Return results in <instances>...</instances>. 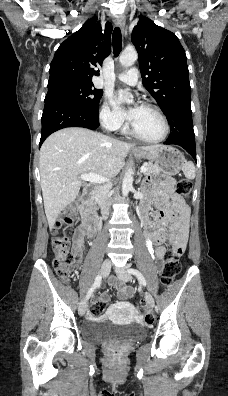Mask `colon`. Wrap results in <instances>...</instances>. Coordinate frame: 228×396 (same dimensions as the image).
Wrapping results in <instances>:
<instances>
[{
    "mask_svg": "<svg viewBox=\"0 0 228 396\" xmlns=\"http://www.w3.org/2000/svg\"><path fill=\"white\" fill-rule=\"evenodd\" d=\"M168 183H174L177 192L184 198L191 193V183L187 179L174 182L167 178ZM74 207L64 210L53 224L52 250L54 253L53 266L57 275L63 282H68L75 269V253L71 250L70 226L74 221ZM183 250L171 248L163 265L161 280L163 285H171L181 270L180 258ZM104 306L102 303H94L89 309V316L93 319L102 315ZM150 321L149 316L146 318Z\"/></svg>",
    "mask_w": 228,
    "mask_h": 396,
    "instance_id": "obj_1",
    "label": "colon"
}]
</instances>
